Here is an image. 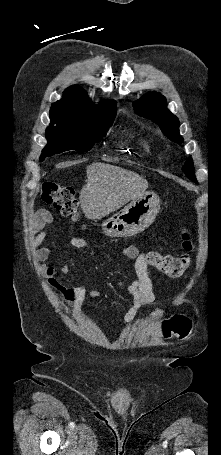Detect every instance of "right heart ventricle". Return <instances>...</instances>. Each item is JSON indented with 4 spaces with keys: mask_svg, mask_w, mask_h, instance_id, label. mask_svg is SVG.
<instances>
[{
    "mask_svg": "<svg viewBox=\"0 0 221 455\" xmlns=\"http://www.w3.org/2000/svg\"><path fill=\"white\" fill-rule=\"evenodd\" d=\"M141 143H142V145H143V147H144L145 149L148 148V144H147V142H146L145 140L141 139Z\"/></svg>",
    "mask_w": 221,
    "mask_h": 455,
    "instance_id": "e07e8e85",
    "label": "right heart ventricle"
}]
</instances>
